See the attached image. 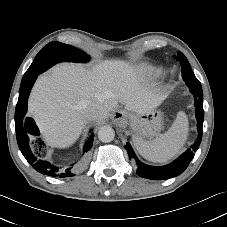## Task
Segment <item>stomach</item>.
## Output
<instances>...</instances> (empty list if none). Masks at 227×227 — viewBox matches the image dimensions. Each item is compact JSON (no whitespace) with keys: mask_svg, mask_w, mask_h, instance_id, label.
I'll use <instances>...</instances> for the list:
<instances>
[{"mask_svg":"<svg viewBox=\"0 0 227 227\" xmlns=\"http://www.w3.org/2000/svg\"><path fill=\"white\" fill-rule=\"evenodd\" d=\"M125 118L134 137L142 139H151L158 135L163 126V115L161 111L157 110L144 114L125 113Z\"/></svg>","mask_w":227,"mask_h":227,"instance_id":"1","label":"stomach"}]
</instances>
